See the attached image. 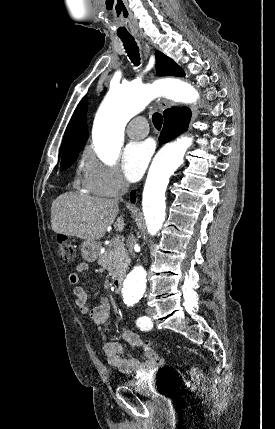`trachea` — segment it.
<instances>
[{
	"label": "trachea",
	"instance_id": "trachea-1",
	"mask_svg": "<svg viewBox=\"0 0 275 429\" xmlns=\"http://www.w3.org/2000/svg\"><path fill=\"white\" fill-rule=\"evenodd\" d=\"M126 53L135 66L140 64L139 48L133 37H121ZM152 121L157 130H160L163 123V117L156 112L152 115Z\"/></svg>",
	"mask_w": 275,
	"mask_h": 429
}]
</instances>
